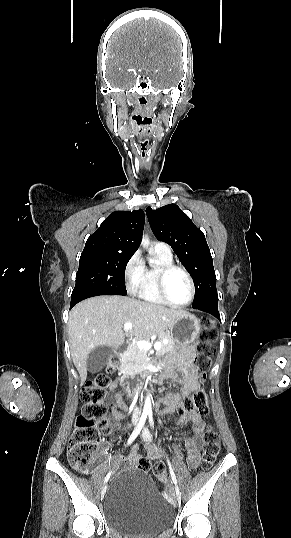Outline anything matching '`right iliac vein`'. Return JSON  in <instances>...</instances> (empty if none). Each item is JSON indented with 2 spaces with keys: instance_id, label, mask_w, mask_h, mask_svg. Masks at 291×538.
<instances>
[{
  "instance_id": "63e3f726",
  "label": "right iliac vein",
  "mask_w": 291,
  "mask_h": 538,
  "mask_svg": "<svg viewBox=\"0 0 291 538\" xmlns=\"http://www.w3.org/2000/svg\"><path fill=\"white\" fill-rule=\"evenodd\" d=\"M106 490H107V486H104L102 491H101V497L103 498V496L105 495L106 493Z\"/></svg>"
}]
</instances>
